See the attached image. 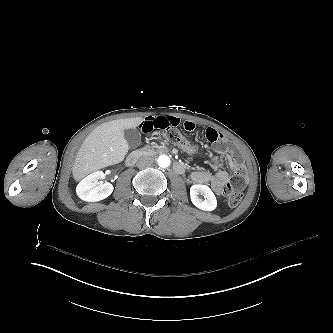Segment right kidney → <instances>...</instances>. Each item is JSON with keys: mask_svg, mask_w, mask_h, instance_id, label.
I'll return each instance as SVG.
<instances>
[{"mask_svg": "<svg viewBox=\"0 0 333 333\" xmlns=\"http://www.w3.org/2000/svg\"><path fill=\"white\" fill-rule=\"evenodd\" d=\"M106 178L103 171H96L85 177L77 186V195L86 202H98L109 197L114 187L111 183H100V179Z\"/></svg>", "mask_w": 333, "mask_h": 333, "instance_id": "1", "label": "right kidney"}]
</instances>
